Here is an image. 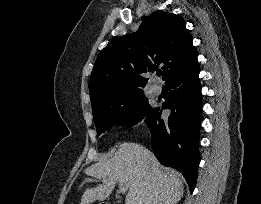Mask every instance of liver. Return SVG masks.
<instances>
[{
  "instance_id": "6515ba94",
  "label": "liver",
  "mask_w": 261,
  "mask_h": 204,
  "mask_svg": "<svg viewBox=\"0 0 261 204\" xmlns=\"http://www.w3.org/2000/svg\"><path fill=\"white\" fill-rule=\"evenodd\" d=\"M85 173L102 179V184L87 189L80 204L107 199L117 182L128 187L125 204H177L184 193L180 174L162 166L151 151L137 143H120L111 158L91 165Z\"/></svg>"
}]
</instances>
